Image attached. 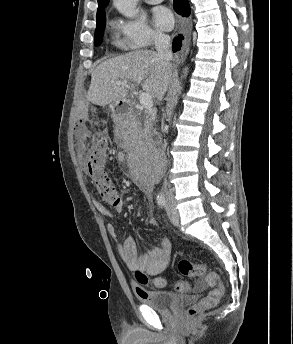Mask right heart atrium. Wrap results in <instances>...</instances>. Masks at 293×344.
Returning a JSON list of instances; mask_svg holds the SVG:
<instances>
[{
  "label": "right heart atrium",
  "instance_id": "d8ad5b80",
  "mask_svg": "<svg viewBox=\"0 0 293 344\" xmlns=\"http://www.w3.org/2000/svg\"><path fill=\"white\" fill-rule=\"evenodd\" d=\"M112 27L118 36L120 47L126 51L143 50L165 39V35L151 28L141 17H117Z\"/></svg>",
  "mask_w": 293,
  "mask_h": 344
}]
</instances>
